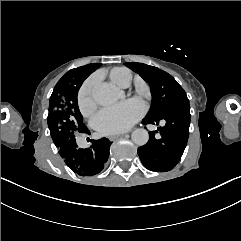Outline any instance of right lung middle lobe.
<instances>
[{
    "label": "right lung middle lobe",
    "instance_id": "1",
    "mask_svg": "<svg viewBox=\"0 0 241 241\" xmlns=\"http://www.w3.org/2000/svg\"><path fill=\"white\" fill-rule=\"evenodd\" d=\"M101 64L92 63L68 71L56 84L49 101L48 127L57 148L76 143L80 133H89L79 111L77 94L83 81Z\"/></svg>",
    "mask_w": 241,
    "mask_h": 241
}]
</instances>
